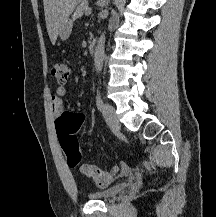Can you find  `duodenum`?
<instances>
[{
    "label": "duodenum",
    "instance_id": "duodenum-1",
    "mask_svg": "<svg viewBox=\"0 0 216 217\" xmlns=\"http://www.w3.org/2000/svg\"><path fill=\"white\" fill-rule=\"evenodd\" d=\"M95 50H96V40L95 39H92L90 40L89 42V53L91 55H93L95 53Z\"/></svg>",
    "mask_w": 216,
    "mask_h": 217
}]
</instances>
